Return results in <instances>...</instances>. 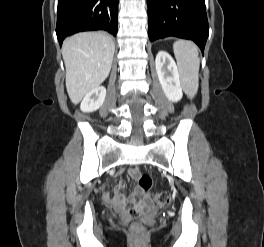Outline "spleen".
I'll list each match as a JSON object with an SVG mask.
<instances>
[{"label": "spleen", "mask_w": 264, "mask_h": 247, "mask_svg": "<svg viewBox=\"0 0 264 247\" xmlns=\"http://www.w3.org/2000/svg\"><path fill=\"white\" fill-rule=\"evenodd\" d=\"M173 50L177 61L182 87L189 97H194L199 86L200 59L197 46L190 41H176Z\"/></svg>", "instance_id": "3e777b00"}]
</instances>
